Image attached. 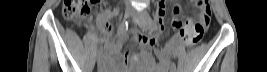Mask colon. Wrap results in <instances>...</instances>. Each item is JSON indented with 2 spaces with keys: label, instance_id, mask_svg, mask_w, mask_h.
Wrapping results in <instances>:
<instances>
[{
  "label": "colon",
  "instance_id": "obj_1",
  "mask_svg": "<svg viewBox=\"0 0 267 72\" xmlns=\"http://www.w3.org/2000/svg\"><path fill=\"white\" fill-rule=\"evenodd\" d=\"M98 2L99 0H65L63 15L68 21L80 23L90 16L93 6ZM192 3L197 9L198 20L188 24L179 21L173 23L174 28L188 46L196 45L201 41L209 26L211 15L208 0H193Z\"/></svg>",
  "mask_w": 267,
  "mask_h": 72
}]
</instances>
